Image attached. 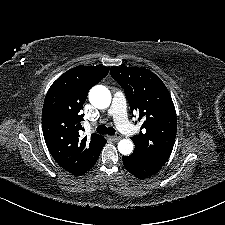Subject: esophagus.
<instances>
[{"label":"esophagus","instance_id":"obj_1","mask_svg":"<svg viewBox=\"0 0 225 225\" xmlns=\"http://www.w3.org/2000/svg\"><path fill=\"white\" fill-rule=\"evenodd\" d=\"M110 139H111L112 141H118V140L121 139V135H120V134H116V135H114V136H110Z\"/></svg>","mask_w":225,"mask_h":225}]
</instances>
